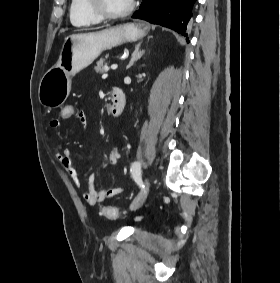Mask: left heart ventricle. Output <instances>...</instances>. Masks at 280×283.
<instances>
[{
    "mask_svg": "<svg viewBox=\"0 0 280 283\" xmlns=\"http://www.w3.org/2000/svg\"><path fill=\"white\" fill-rule=\"evenodd\" d=\"M102 1L104 7L110 13H120L126 10L131 3V0H102Z\"/></svg>",
    "mask_w": 280,
    "mask_h": 283,
    "instance_id": "b2bd125f",
    "label": "left heart ventricle"
}]
</instances>
